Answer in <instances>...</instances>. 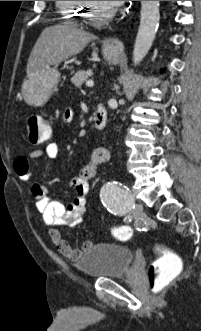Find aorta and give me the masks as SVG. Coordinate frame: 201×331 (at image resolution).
<instances>
[{
	"instance_id": "aorta-1",
	"label": "aorta",
	"mask_w": 201,
	"mask_h": 331,
	"mask_svg": "<svg viewBox=\"0 0 201 331\" xmlns=\"http://www.w3.org/2000/svg\"><path fill=\"white\" fill-rule=\"evenodd\" d=\"M159 22V1H141L140 26L136 36L133 62L140 64L150 50Z\"/></svg>"
}]
</instances>
